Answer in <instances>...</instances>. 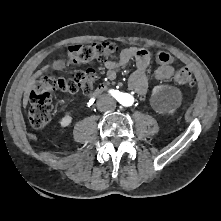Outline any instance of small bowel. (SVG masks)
<instances>
[{"instance_id":"c3829d8e","label":"small bowel","mask_w":221,"mask_h":221,"mask_svg":"<svg viewBox=\"0 0 221 221\" xmlns=\"http://www.w3.org/2000/svg\"><path fill=\"white\" fill-rule=\"evenodd\" d=\"M135 60L137 69L130 75L128 79V88L138 95H145L149 89L148 71L153 63V59L149 51L139 47H128L122 50L118 60H106L103 67L106 70L108 80H114L119 71L127 66L131 61ZM158 67L154 72L156 80H167L174 74L172 66L173 58L168 53L159 52L156 55Z\"/></svg>"}]
</instances>
